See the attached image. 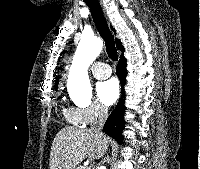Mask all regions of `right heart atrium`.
I'll return each instance as SVG.
<instances>
[{
  "instance_id": "1",
  "label": "right heart atrium",
  "mask_w": 200,
  "mask_h": 169,
  "mask_svg": "<svg viewBox=\"0 0 200 169\" xmlns=\"http://www.w3.org/2000/svg\"><path fill=\"white\" fill-rule=\"evenodd\" d=\"M82 125L87 126L98 122L107 115V110L98 102H92L87 106L75 108Z\"/></svg>"
}]
</instances>
